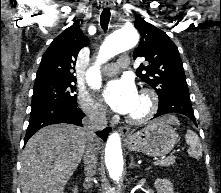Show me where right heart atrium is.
<instances>
[{
  "label": "right heart atrium",
  "mask_w": 221,
  "mask_h": 193,
  "mask_svg": "<svg viewBox=\"0 0 221 193\" xmlns=\"http://www.w3.org/2000/svg\"><path fill=\"white\" fill-rule=\"evenodd\" d=\"M78 105L81 110L93 120H104L106 118V109L97 101L86 94H79Z\"/></svg>",
  "instance_id": "right-heart-atrium-1"
}]
</instances>
